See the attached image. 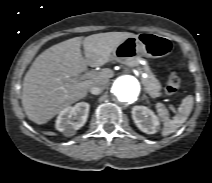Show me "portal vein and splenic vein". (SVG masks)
<instances>
[{
    "label": "portal vein and splenic vein",
    "mask_w": 212,
    "mask_h": 183,
    "mask_svg": "<svg viewBox=\"0 0 212 183\" xmlns=\"http://www.w3.org/2000/svg\"><path fill=\"white\" fill-rule=\"evenodd\" d=\"M94 73H96V72H88V73H86V74H85V76H87V77H88V76L93 75Z\"/></svg>",
    "instance_id": "obj_1"
}]
</instances>
